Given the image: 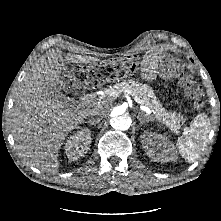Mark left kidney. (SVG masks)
<instances>
[{
  "label": "left kidney",
  "mask_w": 221,
  "mask_h": 221,
  "mask_svg": "<svg viewBox=\"0 0 221 221\" xmlns=\"http://www.w3.org/2000/svg\"><path fill=\"white\" fill-rule=\"evenodd\" d=\"M141 138L146 153L152 160L168 162L176 159L174 147L167 137L149 133Z\"/></svg>",
  "instance_id": "left-kidney-1"
}]
</instances>
